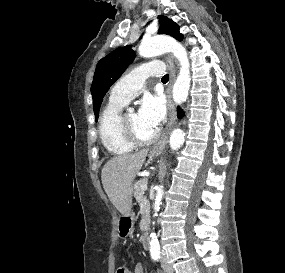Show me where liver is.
Returning <instances> with one entry per match:
<instances>
[{
	"label": "liver",
	"mask_w": 285,
	"mask_h": 273,
	"mask_svg": "<svg viewBox=\"0 0 285 273\" xmlns=\"http://www.w3.org/2000/svg\"><path fill=\"white\" fill-rule=\"evenodd\" d=\"M147 155L148 149H144L134 154L115 156L102 169L103 188L111 203L123 216L131 214L132 183Z\"/></svg>",
	"instance_id": "liver-1"
}]
</instances>
